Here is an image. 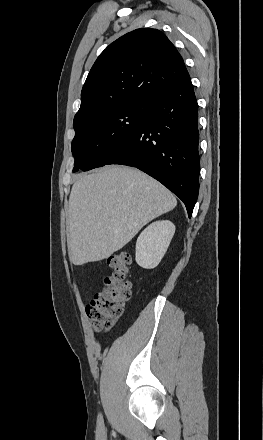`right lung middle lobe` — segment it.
Segmentation results:
<instances>
[{
  "label": "right lung middle lobe",
  "instance_id": "dd1d6c3e",
  "mask_svg": "<svg viewBox=\"0 0 263 440\" xmlns=\"http://www.w3.org/2000/svg\"><path fill=\"white\" fill-rule=\"evenodd\" d=\"M146 110V102L127 103L92 115L75 126L73 172L106 165L115 149L143 121Z\"/></svg>",
  "mask_w": 263,
  "mask_h": 440
}]
</instances>
